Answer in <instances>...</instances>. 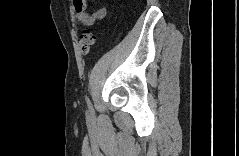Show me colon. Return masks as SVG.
<instances>
[{"label": "colon", "mask_w": 239, "mask_h": 156, "mask_svg": "<svg viewBox=\"0 0 239 156\" xmlns=\"http://www.w3.org/2000/svg\"><path fill=\"white\" fill-rule=\"evenodd\" d=\"M96 35L93 31L84 30L80 36L79 46L82 55H87L94 44Z\"/></svg>", "instance_id": "1"}]
</instances>
